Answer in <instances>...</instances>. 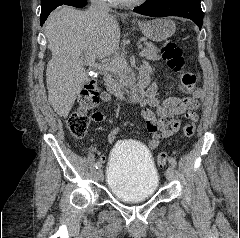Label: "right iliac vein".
<instances>
[{"label":"right iliac vein","instance_id":"1","mask_svg":"<svg viewBox=\"0 0 240 238\" xmlns=\"http://www.w3.org/2000/svg\"><path fill=\"white\" fill-rule=\"evenodd\" d=\"M97 179L101 182V181H103V179H104V174H103V171L101 170V169H99L98 171H97Z\"/></svg>","mask_w":240,"mask_h":238}]
</instances>
